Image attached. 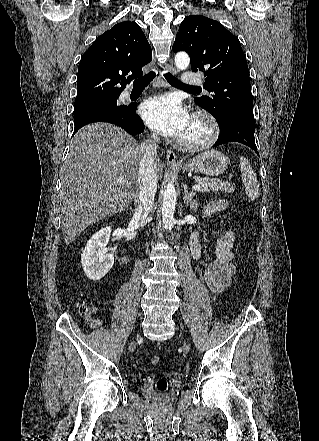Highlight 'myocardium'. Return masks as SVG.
Returning a JSON list of instances; mask_svg holds the SVG:
<instances>
[{"label": "myocardium", "instance_id": "obj_1", "mask_svg": "<svg viewBox=\"0 0 319 441\" xmlns=\"http://www.w3.org/2000/svg\"><path fill=\"white\" fill-rule=\"evenodd\" d=\"M192 122L200 124L204 128L201 138L189 140L181 138L178 146L186 151H200L211 146L218 138L219 125L216 119L206 111H198L193 115Z\"/></svg>", "mask_w": 319, "mask_h": 441}]
</instances>
